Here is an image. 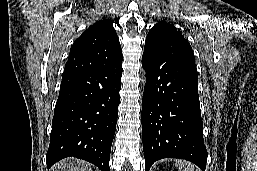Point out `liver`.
Masks as SVG:
<instances>
[{
    "label": "liver",
    "instance_id": "6515ba94",
    "mask_svg": "<svg viewBox=\"0 0 257 171\" xmlns=\"http://www.w3.org/2000/svg\"><path fill=\"white\" fill-rule=\"evenodd\" d=\"M51 171H92L90 164L85 161L67 158L53 166Z\"/></svg>",
    "mask_w": 257,
    "mask_h": 171
}]
</instances>
